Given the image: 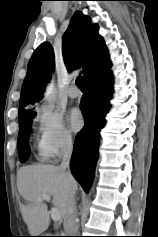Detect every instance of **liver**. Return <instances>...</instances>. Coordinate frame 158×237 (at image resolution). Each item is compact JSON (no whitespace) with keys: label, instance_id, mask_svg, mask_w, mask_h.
Returning <instances> with one entry per match:
<instances>
[{"label":"liver","instance_id":"liver-1","mask_svg":"<svg viewBox=\"0 0 158 237\" xmlns=\"http://www.w3.org/2000/svg\"><path fill=\"white\" fill-rule=\"evenodd\" d=\"M77 182L58 166L36 164L23 166L17 173V189L19 194L28 202L20 203V210L28 231L32 236H39L49 226L47 205L37 198L43 194L52 196L54 208L58 209L65 218L68 202L77 190Z\"/></svg>","mask_w":158,"mask_h":237}]
</instances>
